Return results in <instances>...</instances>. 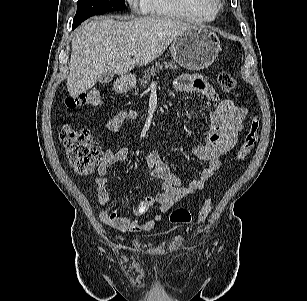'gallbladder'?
Listing matches in <instances>:
<instances>
[{
  "label": "gallbladder",
  "instance_id": "obj_1",
  "mask_svg": "<svg viewBox=\"0 0 307 301\" xmlns=\"http://www.w3.org/2000/svg\"><path fill=\"white\" fill-rule=\"evenodd\" d=\"M113 76L114 74L112 72H105L101 75L98 81L101 84H107L111 82V80L113 79Z\"/></svg>",
  "mask_w": 307,
  "mask_h": 301
}]
</instances>
